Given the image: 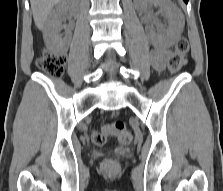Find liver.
<instances>
[{
	"mask_svg": "<svg viewBox=\"0 0 223 191\" xmlns=\"http://www.w3.org/2000/svg\"><path fill=\"white\" fill-rule=\"evenodd\" d=\"M61 0H30L35 25L43 30L48 14Z\"/></svg>",
	"mask_w": 223,
	"mask_h": 191,
	"instance_id": "1",
	"label": "liver"
}]
</instances>
